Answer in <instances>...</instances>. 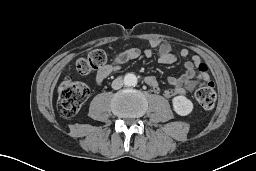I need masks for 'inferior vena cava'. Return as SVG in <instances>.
<instances>
[{"label": "inferior vena cava", "instance_id": "obj_1", "mask_svg": "<svg viewBox=\"0 0 256 171\" xmlns=\"http://www.w3.org/2000/svg\"><path fill=\"white\" fill-rule=\"evenodd\" d=\"M123 84H124V82H123L122 78L118 77V78H116V79L112 82V85H111V86H112V88H113L114 90H118V89L122 88Z\"/></svg>", "mask_w": 256, "mask_h": 171}]
</instances>
